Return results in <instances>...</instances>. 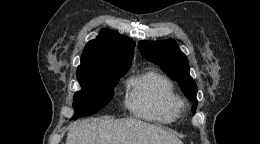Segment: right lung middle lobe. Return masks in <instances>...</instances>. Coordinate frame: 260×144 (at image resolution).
I'll use <instances>...</instances> for the list:
<instances>
[{
  "label": "right lung middle lobe",
  "mask_w": 260,
  "mask_h": 144,
  "mask_svg": "<svg viewBox=\"0 0 260 144\" xmlns=\"http://www.w3.org/2000/svg\"><path fill=\"white\" fill-rule=\"evenodd\" d=\"M125 71L77 76L81 90L73 97L74 119L90 116L105 107L113 96V89Z\"/></svg>",
  "instance_id": "obj_1"
}]
</instances>
